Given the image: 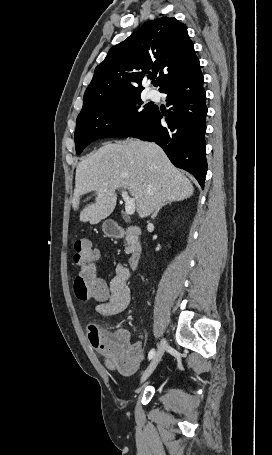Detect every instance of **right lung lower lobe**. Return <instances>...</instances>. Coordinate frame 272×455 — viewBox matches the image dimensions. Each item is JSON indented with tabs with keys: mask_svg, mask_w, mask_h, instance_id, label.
Listing matches in <instances>:
<instances>
[{
	"mask_svg": "<svg viewBox=\"0 0 272 455\" xmlns=\"http://www.w3.org/2000/svg\"><path fill=\"white\" fill-rule=\"evenodd\" d=\"M167 94V114L158 108L130 136L154 141L178 168L192 173L201 187L207 172L204 134L207 107L201 71L163 91ZM165 118L166 123H161Z\"/></svg>",
	"mask_w": 272,
	"mask_h": 455,
	"instance_id": "obj_1",
	"label": "right lung lower lobe"
}]
</instances>
